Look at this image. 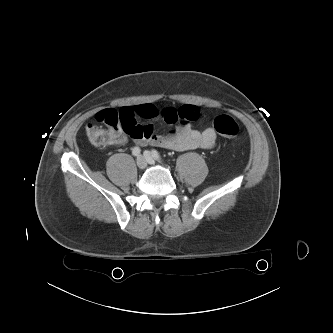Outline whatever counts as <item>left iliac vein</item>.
I'll list each match as a JSON object with an SVG mask.
<instances>
[{
	"instance_id": "left-iliac-vein-1",
	"label": "left iliac vein",
	"mask_w": 333,
	"mask_h": 333,
	"mask_svg": "<svg viewBox=\"0 0 333 333\" xmlns=\"http://www.w3.org/2000/svg\"><path fill=\"white\" fill-rule=\"evenodd\" d=\"M145 158L147 159V162L149 164H155L154 158L151 156L150 152H147V154L144 155Z\"/></svg>"
}]
</instances>
